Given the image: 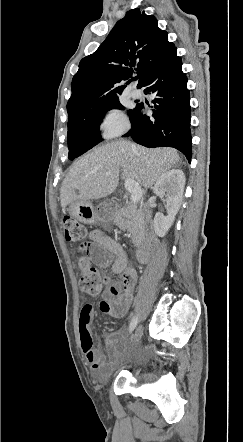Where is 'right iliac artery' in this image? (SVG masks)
Wrapping results in <instances>:
<instances>
[{
    "instance_id": "82829eb1",
    "label": "right iliac artery",
    "mask_w": 243,
    "mask_h": 442,
    "mask_svg": "<svg viewBox=\"0 0 243 442\" xmlns=\"http://www.w3.org/2000/svg\"><path fill=\"white\" fill-rule=\"evenodd\" d=\"M137 325V317H134L129 325V331L132 332Z\"/></svg>"
}]
</instances>
